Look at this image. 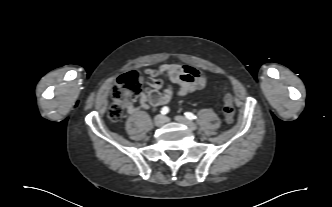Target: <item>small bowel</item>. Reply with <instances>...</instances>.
<instances>
[{"label":"small bowel","instance_id":"c3829d8e","mask_svg":"<svg viewBox=\"0 0 332 207\" xmlns=\"http://www.w3.org/2000/svg\"><path fill=\"white\" fill-rule=\"evenodd\" d=\"M145 73L149 80L140 97V107L144 109L166 104L174 95L185 96L206 89L209 84L203 71L189 65L163 64L158 69H146ZM163 76L169 78L171 85L164 86ZM136 110V107H130L131 112Z\"/></svg>","mask_w":332,"mask_h":207}]
</instances>
